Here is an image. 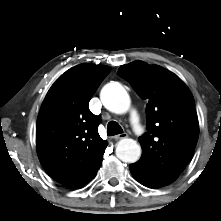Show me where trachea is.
Listing matches in <instances>:
<instances>
[{
  "mask_svg": "<svg viewBox=\"0 0 221 221\" xmlns=\"http://www.w3.org/2000/svg\"><path fill=\"white\" fill-rule=\"evenodd\" d=\"M123 133L121 126L116 121H110L107 125V135L114 136Z\"/></svg>",
  "mask_w": 221,
  "mask_h": 221,
  "instance_id": "obj_1",
  "label": "trachea"
}]
</instances>
